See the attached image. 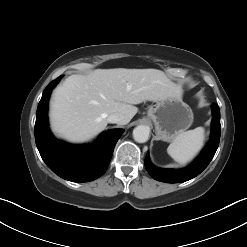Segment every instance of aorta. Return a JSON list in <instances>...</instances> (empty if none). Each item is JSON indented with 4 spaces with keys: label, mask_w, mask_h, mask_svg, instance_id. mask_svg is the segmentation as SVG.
<instances>
[{
    "label": "aorta",
    "mask_w": 247,
    "mask_h": 247,
    "mask_svg": "<svg viewBox=\"0 0 247 247\" xmlns=\"http://www.w3.org/2000/svg\"><path fill=\"white\" fill-rule=\"evenodd\" d=\"M150 129L148 126L139 125L133 130V138L138 143H145L149 139Z\"/></svg>",
    "instance_id": "762f6f07"
}]
</instances>
